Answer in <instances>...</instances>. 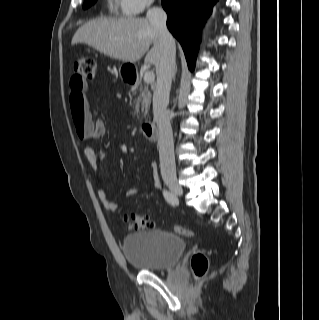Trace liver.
Wrapping results in <instances>:
<instances>
[{"label": "liver", "instance_id": "liver-1", "mask_svg": "<svg viewBox=\"0 0 319 320\" xmlns=\"http://www.w3.org/2000/svg\"><path fill=\"white\" fill-rule=\"evenodd\" d=\"M78 43L86 44L113 59L130 63L137 62L147 52L144 62L154 65L156 71L162 55L158 34L144 18H100L87 22L72 38V45Z\"/></svg>", "mask_w": 319, "mask_h": 320}]
</instances>
